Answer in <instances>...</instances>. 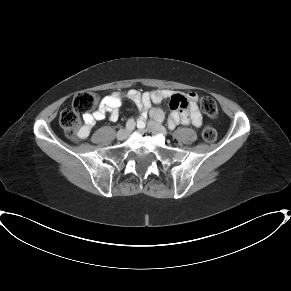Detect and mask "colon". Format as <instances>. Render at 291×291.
Returning <instances> with one entry per match:
<instances>
[{
	"label": "colon",
	"mask_w": 291,
	"mask_h": 291,
	"mask_svg": "<svg viewBox=\"0 0 291 291\" xmlns=\"http://www.w3.org/2000/svg\"><path fill=\"white\" fill-rule=\"evenodd\" d=\"M98 95L92 90H85L77 93L70 107L63 109L59 116V124L64 129L66 135L73 141H78V130L80 127L79 118L82 114H88L98 103ZM199 105L203 112L211 118L218 116V107L215 100L210 96H204L200 99ZM170 109L178 108L177 101H170ZM187 102L182 103L183 108L189 107ZM216 130L213 127L206 126L202 131V137L206 142H213L216 139Z\"/></svg>",
	"instance_id": "colon-1"
}]
</instances>
